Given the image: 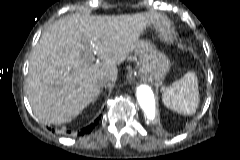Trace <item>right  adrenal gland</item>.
I'll use <instances>...</instances> for the list:
<instances>
[{
    "label": "right adrenal gland",
    "mask_w": 240,
    "mask_h": 160,
    "mask_svg": "<svg viewBox=\"0 0 240 160\" xmlns=\"http://www.w3.org/2000/svg\"><path fill=\"white\" fill-rule=\"evenodd\" d=\"M102 91H103V90H101L100 93H102ZM95 101H96V99H95L93 102H95Z\"/></svg>",
    "instance_id": "2a0ac1e0"
}]
</instances>
